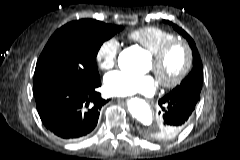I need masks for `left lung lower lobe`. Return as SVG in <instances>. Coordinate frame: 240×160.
<instances>
[{
    "label": "left lung lower lobe",
    "instance_id": "obj_1",
    "mask_svg": "<svg viewBox=\"0 0 240 160\" xmlns=\"http://www.w3.org/2000/svg\"><path fill=\"white\" fill-rule=\"evenodd\" d=\"M197 100L186 96L167 94L159 100L162 108V127L160 130H143L142 134L150 139L161 141L175 137L185 126L195 109Z\"/></svg>",
    "mask_w": 240,
    "mask_h": 160
}]
</instances>
